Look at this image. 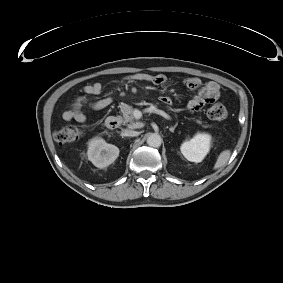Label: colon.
Listing matches in <instances>:
<instances>
[{"mask_svg":"<svg viewBox=\"0 0 283 283\" xmlns=\"http://www.w3.org/2000/svg\"><path fill=\"white\" fill-rule=\"evenodd\" d=\"M227 115V108L220 103L212 105L208 110V117L213 121H222ZM82 134L83 131L77 126H64L54 133V138L58 143L66 144L79 140Z\"/></svg>","mask_w":283,"mask_h":283,"instance_id":"1","label":"colon"}]
</instances>
